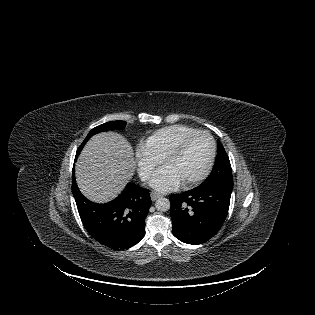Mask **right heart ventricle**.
Returning a JSON list of instances; mask_svg holds the SVG:
<instances>
[{
    "label": "right heart ventricle",
    "instance_id": "right-heart-ventricle-1",
    "mask_svg": "<svg viewBox=\"0 0 315 315\" xmlns=\"http://www.w3.org/2000/svg\"><path fill=\"white\" fill-rule=\"evenodd\" d=\"M196 131L195 128L174 124L154 131L147 139L146 144L152 152L161 160L184 136Z\"/></svg>",
    "mask_w": 315,
    "mask_h": 315
}]
</instances>
